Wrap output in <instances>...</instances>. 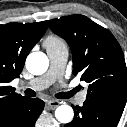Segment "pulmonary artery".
Wrapping results in <instances>:
<instances>
[{
    "label": "pulmonary artery",
    "instance_id": "obj_1",
    "mask_svg": "<svg viewBox=\"0 0 127 127\" xmlns=\"http://www.w3.org/2000/svg\"><path fill=\"white\" fill-rule=\"evenodd\" d=\"M50 60L49 70L42 76L31 79L25 83V86L33 90H43L49 87L54 81L61 79L64 68L68 60V51L66 47L47 50ZM86 92H81L77 96V101L82 104L86 100Z\"/></svg>",
    "mask_w": 127,
    "mask_h": 127
}]
</instances>
